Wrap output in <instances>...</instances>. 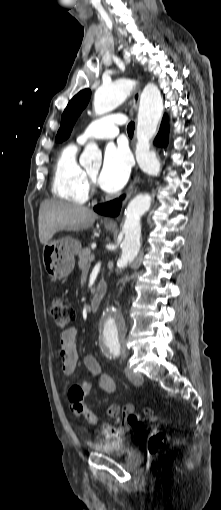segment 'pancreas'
<instances>
[{
	"label": "pancreas",
	"instance_id": "1",
	"mask_svg": "<svg viewBox=\"0 0 221 510\" xmlns=\"http://www.w3.org/2000/svg\"><path fill=\"white\" fill-rule=\"evenodd\" d=\"M91 250L89 248H84L82 249L79 254H78V257H79V262H78V265L80 268H89L90 267V264H89V258L91 257Z\"/></svg>",
	"mask_w": 221,
	"mask_h": 510
}]
</instances>
